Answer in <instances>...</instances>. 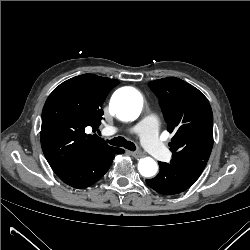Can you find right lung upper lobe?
<instances>
[{
  "mask_svg": "<svg viewBox=\"0 0 250 250\" xmlns=\"http://www.w3.org/2000/svg\"><path fill=\"white\" fill-rule=\"evenodd\" d=\"M116 79L83 74L60 84L42 111L41 146L53 170L78 166L98 151L111 148L96 134L103 119L102 104Z\"/></svg>",
  "mask_w": 250,
  "mask_h": 250,
  "instance_id": "obj_1",
  "label": "right lung upper lobe"
}]
</instances>
